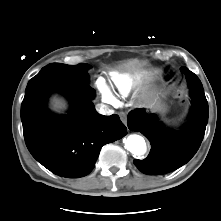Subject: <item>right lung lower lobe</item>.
<instances>
[{
  "instance_id": "right-lung-lower-lobe-1",
  "label": "right lung lower lobe",
  "mask_w": 221,
  "mask_h": 221,
  "mask_svg": "<svg viewBox=\"0 0 221 221\" xmlns=\"http://www.w3.org/2000/svg\"><path fill=\"white\" fill-rule=\"evenodd\" d=\"M52 92L70 102L67 115L47 109ZM95 91L88 84L73 85L49 79H31L21 105L23 134L28 150L45 168L62 177L79 178L95 166L103 145L127 134L118 115L95 110Z\"/></svg>"
}]
</instances>
